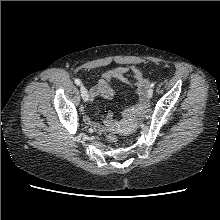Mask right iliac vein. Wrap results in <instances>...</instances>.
<instances>
[{"label":"right iliac vein","mask_w":220,"mask_h":220,"mask_svg":"<svg viewBox=\"0 0 220 220\" xmlns=\"http://www.w3.org/2000/svg\"><path fill=\"white\" fill-rule=\"evenodd\" d=\"M80 92H81L82 99L85 102H87L89 100V94H88L87 89L83 85H81L80 87Z\"/></svg>","instance_id":"63e3f726"}]
</instances>
